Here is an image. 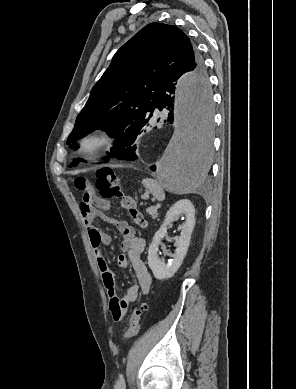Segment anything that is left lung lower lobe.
I'll return each mask as SVG.
<instances>
[{
  "label": "left lung lower lobe",
  "instance_id": "0a47b994",
  "mask_svg": "<svg viewBox=\"0 0 296 389\" xmlns=\"http://www.w3.org/2000/svg\"><path fill=\"white\" fill-rule=\"evenodd\" d=\"M178 78V76H175L163 83L157 93V101L153 109L154 111L155 108H158L161 111L165 108L167 114L164 122L171 124L176 119L175 85ZM190 88L191 95L198 109L199 119L194 132L187 138L188 154L194 171L193 179H198L205 175L210 163L211 141L209 132L212 120V98L205 77L195 76L191 78ZM159 120L160 118H158ZM149 122L137 126L136 123L131 124L125 130L124 135L120 139H116L110 152L107 154L119 160H136L140 158L139 147L134 143L138 135L149 125ZM151 170H156L155 165L151 167Z\"/></svg>",
  "mask_w": 296,
  "mask_h": 389
}]
</instances>
